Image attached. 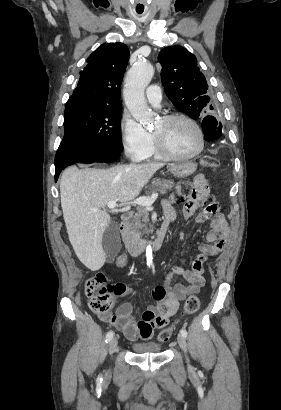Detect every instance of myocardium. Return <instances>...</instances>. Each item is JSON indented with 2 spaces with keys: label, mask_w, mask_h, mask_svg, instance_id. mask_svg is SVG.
I'll use <instances>...</instances> for the list:
<instances>
[{
  "label": "myocardium",
  "mask_w": 281,
  "mask_h": 410,
  "mask_svg": "<svg viewBox=\"0 0 281 410\" xmlns=\"http://www.w3.org/2000/svg\"><path fill=\"white\" fill-rule=\"evenodd\" d=\"M182 119L187 122H189L197 131L198 137H199V146L198 148L191 154H186V155H180V154H175L173 153L163 142V140L157 136L156 134H153V139L156 145V148L160 155L168 160H188V159H193L197 157L199 154L202 153L204 146H205V135L203 132L202 127L199 125V123L191 116L184 114V113H172L165 115L161 118V120L164 123H169L174 120Z\"/></svg>",
  "instance_id": "f54148a6"
}]
</instances>
